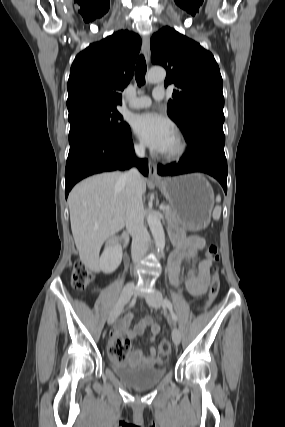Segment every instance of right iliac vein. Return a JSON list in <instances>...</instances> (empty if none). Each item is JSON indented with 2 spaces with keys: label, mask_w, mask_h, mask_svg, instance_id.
Listing matches in <instances>:
<instances>
[{
  "label": "right iliac vein",
  "mask_w": 285,
  "mask_h": 427,
  "mask_svg": "<svg viewBox=\"0 0 285 427\" xmlns=\"http://www.w3.org/2000/svg\"><path fill=\"white\" fill-rule=\"evenodd\" d=\"M135 282L131 281L128 283L122 290L118 302L112 309L109 318H108V324L111 325L120 315L122 312L124 306L129 302L133 289H134Z\"/></svg>",
  "instance_id": "1"
}]
</instances>
